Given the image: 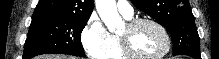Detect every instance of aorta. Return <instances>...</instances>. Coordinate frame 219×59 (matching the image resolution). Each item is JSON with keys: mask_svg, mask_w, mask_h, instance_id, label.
<instances>
[{"mask_svg": "<svg viewBox=\"0 0 219 59\" xmlns=\"http://www.w3.org/2000/svg\"><path fill=\"white\" fill-rule=\"evenodd\" d=\"M96 9L110 32H115L122 23L117 12L116 0H96Z\"/></svg>", "mask_w": 219, "mask_h": 59, "instance_id": "obj_1", "label": "aorta"}]
</instances>
